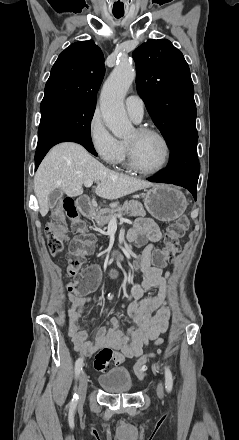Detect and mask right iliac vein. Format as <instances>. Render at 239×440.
<instances>
[{
  "label": "right iliac vein",
  "instance_id": "right-iliac-vein-1",
  "mask_svg": "<svg viewBox=\"0 0 239 440\" xmlns=\"http://www.w3.org/2000/svg\"><path fill=\"white\" fill-rule=\"evenodd\" d=\"M87 385H88L87 375L85 372H82L79 377V386H78V394L80 401H82L86 396Z\"/></svg>",
  "mask_w": 239,
  "mask_h": 440
}]
</instances>
